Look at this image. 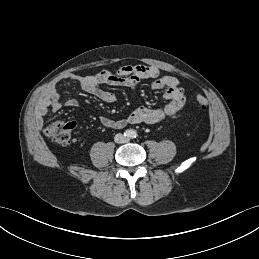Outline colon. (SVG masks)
<instances>
[{"label": "colon", "instance_id": "5ec220e1", "mask_svg": "<svg viewBox=\"0 0 259 259\" xmlns=\"http://www.w3.org/2000/svg\"><path fill=\"white\" fill-rule=\"evenodd\" d=\"M197 104L205 109L207 107V100L203 96L196 98ZM77 124L75 122H53L45 128V133L61 144H69L73 140V132Z\"/></svg>", "mask_w": 259, "mask_h": 259}]
</instances>
